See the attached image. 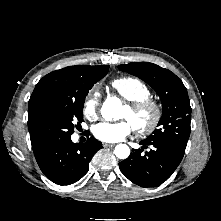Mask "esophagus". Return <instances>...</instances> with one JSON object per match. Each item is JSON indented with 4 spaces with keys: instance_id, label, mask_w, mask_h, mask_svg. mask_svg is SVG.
<instances>
[{
    "instance_id": "esophagus-1",
    "label": "esophagus",
    "mask_w": 221,
    "mask_h": 221,
    "mask_svg": "<svg viewBox=\"0 0 221 221\" xmlns=\"http://www.w3.org/2000/svg\"><path fill=\"white\" fill-rule=\"evenodd\" d=\"M102 145H103V147H105V148L114 147V146H115V144H111V143H103Z\"/></svg>"
}]
</instances>
